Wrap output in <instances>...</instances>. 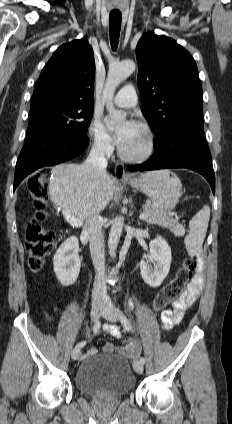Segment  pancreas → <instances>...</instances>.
Returning <instances> with one entry per match:
<instances>
[{"instance_id":"1","label":"pancreas","mask_w":232,"mask_h":424,"mask_svg":"<svg viewBox=\"0 0 232 424\" xmlns=\"http://www.w3.org/2000/svg\"><path fill=\"white\" fill-rule=\"evenodd\" d=\"M142 209L143 212L147 214L145 221L149 224H157L173 232L177 226H180L178 218H173L171 215H167L151 204L144 205Z\"/></svg>"}]
</instances>
